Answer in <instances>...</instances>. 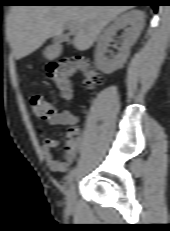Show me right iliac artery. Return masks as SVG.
Wrapping results in <instances>:
<instances>
[{
  "mask_svg": "<svg viewBox=\"0 0 170 231\" xmlns=\"http://www.w3.org/2000/svg\"><path fill=\"white\" fill-rule=\"evenodd\" d=\"M76 174V169H72L67 176V183L71 184Z\"/></svg>",
  "mask_w": 170,
  "mask_h": 231,
  "instance_id": "obj_1",
  "label": "right iliac artery"
}]
</instances>
